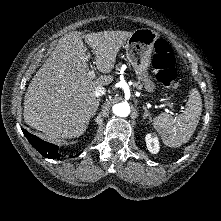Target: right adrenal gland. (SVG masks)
<instances>
[{
    "mask_svg": "<svg viewBox=\"0 0 221 221\" xmlns=\"http://www.w3.org/2000/svg\"><path fill=\"white\" fill-rule=\"evenodd\" d=\"M100 101H101V99H98V100H97V108H96L95 112L93 113V115L96 114V111H97V109H98V106H99V102H100Z\"/></svg>",
    "mask_w": 221,
    "mask_h": 221,
    "instance_id": "right-adrenal-gland-1",
    "label": "right adrenal gland"
}]
</instances>
